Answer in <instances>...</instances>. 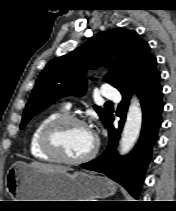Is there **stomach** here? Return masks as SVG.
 I'll return each mask as SVG.
<instances>
[{
	"label": "stomach",
	"instance_id": "obj_1",
	"mask_svg": "<svg viewBox=\"0 0 176 211\" xmlns=\"http://www.w3.org/2000/svg\"><path fill=\"white\" fill-rule=\"evenodd\" d=\"M5 185L14 201H89L116 192V186L105 177L44 171L24 162H16L8 169Z\"/></svg>",
	"mask_w": 176,
	"mask_h": 211
}]
</instances>
